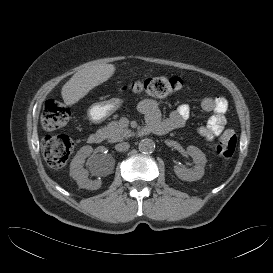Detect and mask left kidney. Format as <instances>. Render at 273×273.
Instances as JSON below:
<instances>
[{"label": "left kidney", "instance_id": "5707ae66", "mask_svg": "<svg viewBox=\"0 0 273 273\" xmlns=\"http://www.w3.org/2000/svg\"><path fill=\"white\" fill-rule=\"evenodd\" d=\"M187 153L193 158L195 166L192 169L182 168L178 165L174 166L175 174L184 181H196L203 177L204 167L206 164L205 154L195 146H188Z\"/></svg>", "mask_w": 273, "mask_h": 273}]
</instances>
